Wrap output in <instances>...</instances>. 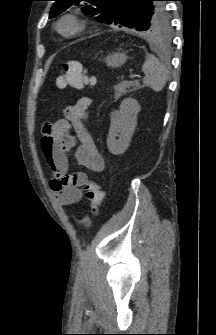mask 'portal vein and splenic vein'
Returning a JSON list of instances; mask_svg holds the SVG:
<instances>
[{"instance_id": "1", "label": "portal vein and splenic vein", "mask_w": 216, "mask_h": 335, "mask_svg": "<svg viewBox=\"0 0 216 335\" xmlns=\"http://www.w3.org/2000/svg\"><path fill=\"white\" fill-rule=\"evenodd\" d=\"M130 77H131V78H139L140 76H139V75H136V74H131Z\"/></svg>"}]
</instances>
